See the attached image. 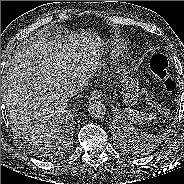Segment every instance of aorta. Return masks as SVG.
Instances as JSON below:
<instances>
[{"instance_id": "762f6f07", "label": "aorta", "mask_w": 184, "mask_h": 184, "mask_svg": "<svg viewBox=\"0 0 184 184\" xmlns=\"http://www.w3.org/2000/svg\"><path fill=\"white\" fill-rule=\"evenodd\" d=\"M88 112L94 119H102L106 114V107L103 102L93 100L88 106Z\"/></svg>"}]
</instances>
